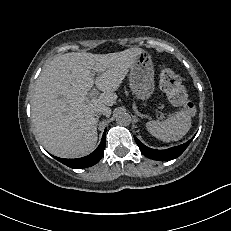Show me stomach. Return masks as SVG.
Instances as JSON below:
<instances>
[{
	"label": "stomach",
	"mask_w": 231,
	"mask_h": 231,
	"mask_svg": "<svg viewBox=\"0 0 231 231\" xmlns=\"http://www.w3.org/2000/svg\"><path fill=\"white\" fill-rule=\"evenodd\" d=\"M129 82L132 93L145 105L155 90L153 63L148 52L140 53L130 68Z\"/></svg>",
	"instance_id": "0dacf381"
}]
</instances>
